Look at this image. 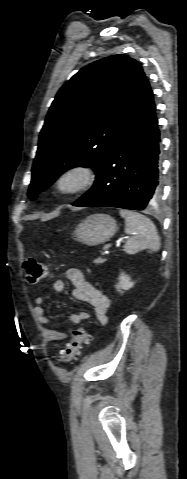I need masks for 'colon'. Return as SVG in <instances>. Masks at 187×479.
Here are the masks:
<instances>
[{"label": "colon", "instance_id": "obj_1", "mask_svg": "<svg viewBox=\"0 0 187 479\" xmlns=\"http://www.w3.org/2000/svg\"><path fill=\"white\" fill-rule=\"evenodd\" d=\"M25 278L28 284L37 285L44 280L48 274L45 263L34 258H28L23 263ZM91 339L86 327L80 326L72 333V338L66 347L59 353L57 363L67 364L75 360L80 354L82 347Z\"/></svg>", "mask_w": 187, "mask_h": 479}]
</instances>
